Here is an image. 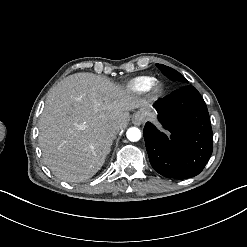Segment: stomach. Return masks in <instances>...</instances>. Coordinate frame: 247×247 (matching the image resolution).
Segmentation results:
<instances>
[{"mask_svg":"<svg viewBox=\"0 0 247 247\" xmlns=\"http://www.w3.org/2000/svg\"><path fill=\"white\" fill-rule=\"evenodd\" d=\"M148 118L155 121L154 107L151 103H147L146 105L141 107L135 114H133L132 123H135L136 121H140L142 123Z\"/></svg>","mask_w":247,"mask_h":247,"instance_id":"0dacf381","label":"stomach"}]
</instances>
